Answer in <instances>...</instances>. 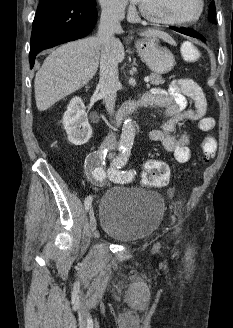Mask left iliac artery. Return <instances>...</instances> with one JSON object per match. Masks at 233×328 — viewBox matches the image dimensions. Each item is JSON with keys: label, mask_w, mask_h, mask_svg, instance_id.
<instances>
[{"label": "left iliac artery", "mask_w": 233, "mask_h": 328, "mask_svg": "<svg viewBox=\"0 0 233 328\" xmlns=\"http://www.w3.org/2000/svg\"><path fill=\"white\" fill-rule=\"evenodd\" d=\"M130 154V147H126L113 160L111 167L108 169V177L114 183H127L132 181L133 172L123 171L121 168L127 163Z\"/></svg>", "instance_id": "left-iliac-artery-1"}]
</instances>
